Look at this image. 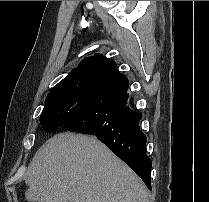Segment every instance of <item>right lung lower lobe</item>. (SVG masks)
I'll use <instances>...</instances> for the list:
<instances>
[{"label":"right lung lower lobe","instance_id":"right-lung-lower-lobe-1","mask_svg":"<svg viewBox=\"0 0 209 202\" xmlns=\"http://www.w3.org/2000/svg\"><path fill=\"white\" fill-rule=\"evenodd\" d=\"M129 80L116 69L90 79L81 90L77 111L63 124L69 131L96 136L129 165L151 190L152 162L146 154L142 115L127 106Z\"/></svg>","mask_w":209,"mask_h":202}]
</instances>
